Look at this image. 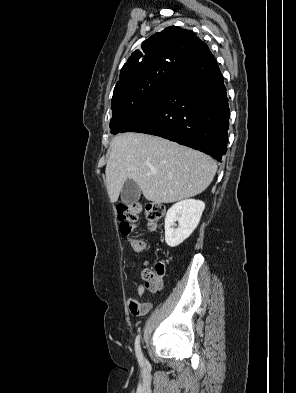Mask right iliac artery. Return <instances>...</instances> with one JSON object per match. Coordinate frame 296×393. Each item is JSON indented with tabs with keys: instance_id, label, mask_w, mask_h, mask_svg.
<instances>
[{
	"instance_id": "82829eb1",
	"label": "right iliac artery",
	"mask_w": 296,
	"mask_h": 393,
	"mask_svg": "<svg viewBox=\"0 0 296 393\" xmlns=\"http://www.w3.org/2000/svg\"><path fill=\"white\" fill-rule=\"evenodd\" d=\"M135 352L139 363L142 365L144 363V358L140 347V335H138L135 340Z\"/></svg>"
}]
</instances>
